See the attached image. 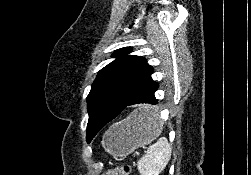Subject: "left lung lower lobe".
I'll use <instances>...</instances> for the list:
<instances>
[{"label":"left lung lower lobe","mask_w":251,"mask_h":175,"mask_svg":"<svg viewBox=\"0 0 251 175\" xmlns=\"http://www.w3.org/2000/svg\"><path fill=\"white\" fill-rule=\"evenodd\" d=\"M148 74L133 91L129 100L124 104L110 103L103 106L95 112L98 115L97 120L104 126L115 118L128 117L131 119H153L160 115L155 91L158 89V83L152 80L151 74Z\"/></svg>","instance_id":"1"}]
</instances>
